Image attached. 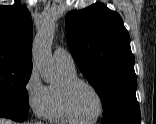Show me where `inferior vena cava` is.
<instances>
[{"label":"inferior vena cava","instance_id":"602c4592","mask_svg":"<svg viewBox=\"0 0 156 124\" xmlns=\"http://www.w3.org/2000/svg\"><path fill=\"white\" fill-rule=\"evenodd\" d=\"M35 124H41V122H37V123H35Z\"/></svg>","mask_w":156,"mask_h":124}]
</instances>
